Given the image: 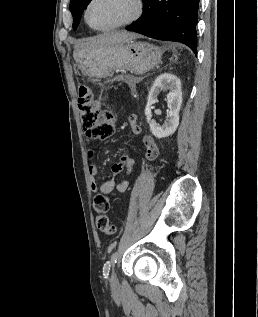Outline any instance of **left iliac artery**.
<instances>
[{
    "label": "left iliac artery",
    "instance_id": "obj_1",
    "mask_svg": "<svg viewBox=\"0 0 258 317\" xmlns=\"http://www.w3.org/2000/svg\"><path fill=\"white\" fill-rule=\"evenodd\" d=\"M116 262H117V251H115L111 255V265L114 266Z\"/></svg>",
    "mask_w": 258,
    "mask_h": 317
}]
</instances>
